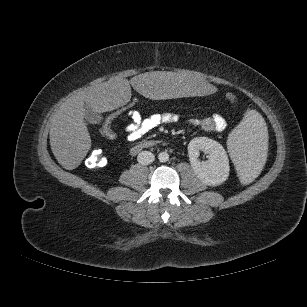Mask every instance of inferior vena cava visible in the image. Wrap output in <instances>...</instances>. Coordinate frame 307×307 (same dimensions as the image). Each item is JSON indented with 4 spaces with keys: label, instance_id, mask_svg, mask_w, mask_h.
Wrapping results in <instances>:
<instances>
[{
    "label": "inferior vena cava",
    "instance_id": "obj_1",
    "mask_svg": "<svg viewBox=\"0 0 307 307\" xmlns=\"http://www.w3.org/2000/svg\"><path fill=\"white\" fill-rule=\"evenodd\" d=\"M154 159H155V156L150 151H142L137 156V161L141 165H149L154 161Z\"/></svg>",
    "mask_w": 307,
    "mask_h": 307
}]
</instances>
